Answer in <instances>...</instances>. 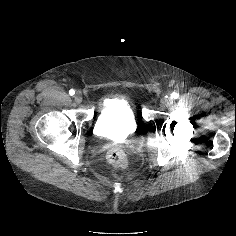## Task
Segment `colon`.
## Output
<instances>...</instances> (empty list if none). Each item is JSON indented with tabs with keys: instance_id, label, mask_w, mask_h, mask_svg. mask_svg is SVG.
<instances>
[{
	"instance_id": "obj_1",
	"label": "colon",
	"mask_w": 236,
	"mask_h": 236,
	"mask_svg": "<svg viewBox=\"0 0 236 236\" xmlns=\"http://www.w3.org/2000/svg\"><path fill=\"white\" fill-rule=\"evenodd\" d=\"M108 160L111 164L120 170H126L128 168V158L125 152L118 148H112L108 153Z\"/></svg>"
}]
</instances>
